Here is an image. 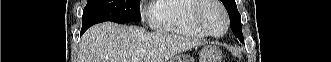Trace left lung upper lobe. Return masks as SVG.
<instances>
[{
	"instance_id": "obj_1",
	"label": "left lung upper lobe",
	"mask_w": 331,
	"mask_h": 62,
	"mask_svg": "<svg viewBox=\"0 0 331 62\" xmlns=\"http://www.w3.org/2000/svg\"><path fill=\"white\" fill-rule=\"evenodd\" d=\"M223 5L225 6L229 17H230V26L233 25L236 27L239 31L241 30V19L240 14L237 10V6L235 3V0H221Z\"/></svg>"
}]
</instances>
